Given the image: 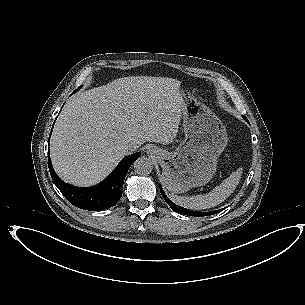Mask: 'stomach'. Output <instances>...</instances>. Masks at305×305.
<instances>
[{
  "instance_id": "0dacf381",
  "label": "stomach",
  "mask_w": 305,
  "mask_h": 305,
  "mask_svg": "<svg viewBox=\"0 0 305 305\" xmlns=\"http://www.w3.org/2000/svg\"><path fill=\"white\" fill-rule=\"evenodd\" d=\"M184 140L173 152L159 149L155 157L162 181L173 194L207 184L217 169V159L227 145L226 128L206 105L187 90H180Z\"/></svg>"
}]
</instances>
